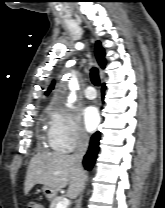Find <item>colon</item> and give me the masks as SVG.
<instances>
[{
  "mask_svg": "<svg viewBox=\"0 0 165 208\" xmlns=\"http://www.w3.org/2000/svg\"><path fill=\"white\" fill-rule=\"evenodd\" d=\"M28 208H43V206L36 201L30 202Z\"/></svg>",
  "mask_w": 165,
  "mask_h": 208,
  "instance_id": "5ec220e1",
  "label": "colon"
}]
</instances>
